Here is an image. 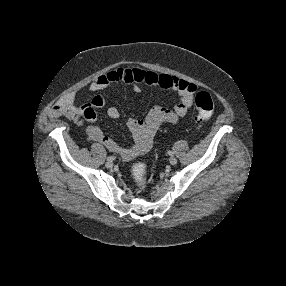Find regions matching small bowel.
Here are the masks:
<instances>
[{"label":"small bowel","mask_w":286,"mask_h":286,"mask_svg":"<svg viewBox=\"0 0 286 286\" xmlns=\"http://www.w3.org/2000/svg\"><path fill=\"white\" fill-rule=\"evenodd\" d=\"M119 84H133V89L137 93L141 90L140 84L173 90L178 93L179 100L172 110L156 106L149 110L144 119H130L127 122V129L133 139V145L129 147L119 146L94 125L97 119L96 109L104 105V100L99 95L95 96L90 104L79 106L76 103L77 91H70L52 109L51 115L55 117L64 115L76 123H87V140L104 145L125 161L147 152L157 130L163 124L175 125L185 117L193 106L194 94L197 91L196 84L192 82L168 74L147 72L138 67L132 69L118 67L100 75L90 84L89 90L99 92ZM107 115L111 119H117L120 116V111L117 107L110 106L107 109Z\"/></svg>","instance_id":"c3829d8e"}]
</instances>
